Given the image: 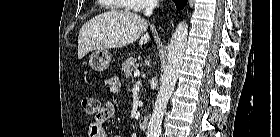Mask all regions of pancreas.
Here are the masks:
<instances>
[{"mask_svg":"<svg viewBox=\"0 0 280 137\" xmlns=\"http://www.w3.org/2000/svg\"><path fill=\"white\" fill-rule=\"evenodd\" d=\"M138 66L139 64L137 63V59L130 57L122 64V71L126 77H129L132 75L133 70H136Z\"/></svg>","mask_w":280,"mask_h":137,"instance_id":"obj_1","label":"pancreas"}]
</instances>
